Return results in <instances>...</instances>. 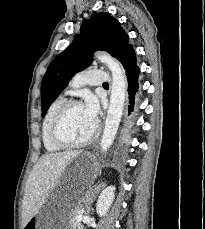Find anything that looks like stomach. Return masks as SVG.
Here are the masks:
<instances>
[{
  "label": "stomach",
  "instance_id": "1",
  "mask_svg": "<svg viewBox=\"0 0 205 229\" xmlns=\"http://www.w3.org/2000/svg\"><path fill=\"white\" fill-rule=\"evenodd\" d=\"M93 157L85 152L64 173L59 187L48 197L24 229H70V218L80 196L89 189L94 171ZM89 192V191H88Z\"/></svg>",
  "mask_w": 205,
  "mask_h": 229
}]
</instances>
